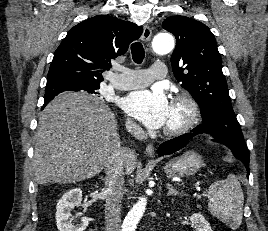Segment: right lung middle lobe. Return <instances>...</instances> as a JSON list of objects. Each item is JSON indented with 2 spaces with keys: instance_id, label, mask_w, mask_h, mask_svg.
<instances>
[{
  "instance_id": "right-lung-middle-lobe-1",
  "label": "right lung middle lobe",
  "mask_w": 268,
  "mask_h": 231,
  "mask_svg": "<svg viewBox=\"0 0 268 231\" xmlns=\"http://www.w3.org/2000/svg\"><path fill=\"white\" fill-rule=\"evenodd\" d=\"M99 86H81V85H72V84H58L51 87H46L45 89V96L54 98L59 93L63 91H81V92H88L91 94H99L97 89Z\"/></svg>"
}]
</instances>
